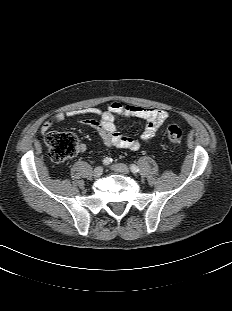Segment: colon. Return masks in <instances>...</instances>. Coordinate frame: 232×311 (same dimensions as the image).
Wrapping results in <instances>:
<instances>
[{"instance_id": "colon-1", "label": "colon", "mask_w": 232, "mask_h": 311, "mask_svg": "<svg viewBox=\"0 0 232 311\" xmlns=\"http://www.w3.org/2000/svg\"><path fill=\"white\" fill-rule=\"evenodd\" d=\"M168 138L173 143H178L183 135L181 128L171 125L168 128ZM50 150V157L55 163H62L73 157L78 150V140L72 133L50 131L45 136Z\"/></svg>"}]
</instances>
